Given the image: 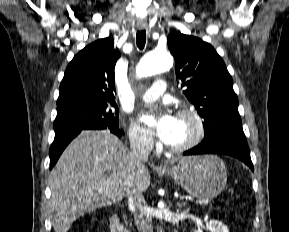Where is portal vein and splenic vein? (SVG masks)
Returning <instances> with one entry per match:
<instances>
[{
  "mask_svg": "<svg viewBox=\"0 0 289 232\" xmlns=\"http://www.w3.org/2000/svg\"><path fill=\"white\" fill-rule=\"evenodd\" d=\"M189 200L201 206H205L209 204V200H194V199H189Z\"/></svg>",
  "mask_w": 289,
  "mask_h": 232,
  "instance_id": "18ae733b",
  "label": "portal vein and splenic vein"
}]
</instances>
